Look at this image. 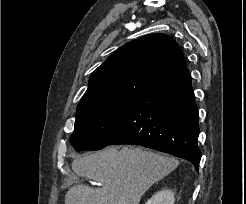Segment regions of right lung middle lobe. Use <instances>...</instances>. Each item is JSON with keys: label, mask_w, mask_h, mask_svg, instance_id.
<instances>
[{"label": "right lung middle lobe", "mask_w": 246, "mask_h": 204, "mask_svg": "<svg viewBox=\"0 0 246 204\" xmlns=\"http://www.w3.org/2000/svg\"><path fill=\"white\" fill-rule=\"evenodd\" d=\"M138 96L95 99L79 103L70 143L75 150H99L115 138Z\"/></svg>", "instance_id": "dd1d6c3e"}]
</instances>
